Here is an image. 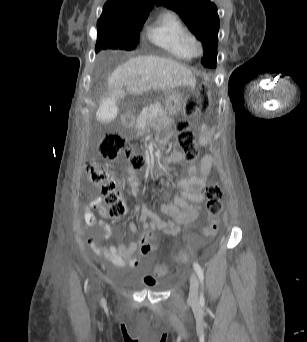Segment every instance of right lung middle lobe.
I'll return each instance as SVG.
<instances>
[{
	"instance_id": "obj_1",
	"label": "right lung middle lobe",
	"mask_w": 307,
	"mask_h": 342,
	"mask_svg": "<svg viewBox=\"0 0 307 342\" xmlns=\"http://www.w3.org/2000/svg\"><path fill=\"white\" fill-rule=\"evenodd\" d=\"M139 33H106L98 31L95 51L101 49L133 50L138 44Z\"/></svg>"
}]
</instances>
